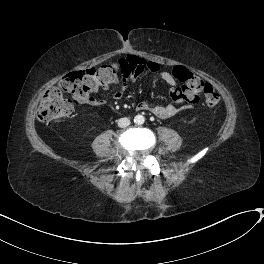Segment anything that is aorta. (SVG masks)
<instances>
[{
  "mask_svg": "<svg viewBox=\"0 0 264 264\" xmlns=\"http://www.w3.org/2000/svg\"><path fill=\"white\" fill-rule=\"evenodd\" d=\"M144 117L142 115H137L135 117V122L138 123V124H142L144 122Z\"/></svg>",
  "mask_w": 264,
  "mask_h": 264,
  "instance_id": "762f6f07",
  "label": "aorta"
}]
</instances>
